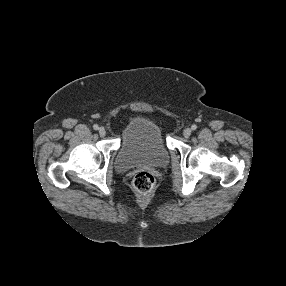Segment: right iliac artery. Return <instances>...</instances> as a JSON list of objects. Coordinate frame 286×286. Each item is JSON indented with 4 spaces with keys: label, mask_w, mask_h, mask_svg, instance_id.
Listing matches in <instances>:
<instances>
[{
    "label": "right iliac artery",
    "mask_w": 286,
    "mask_h": 286,
    "mask_svg": "<svg viewBox=\"0 0 286 286\" xmlns=\"http://www.w3.org/2000/svg\"><path fill=\"white\" fill-rule=\"evenodd\" d=\"M93 129L94 130H98L99 129V126L97 124L93 125Z\"/></svg>",
    "instance_id": "1"
}]
</instances>
